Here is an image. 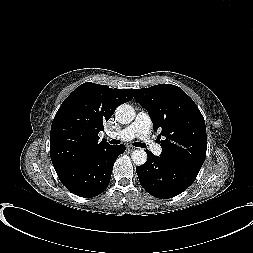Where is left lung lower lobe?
<instances>
[{"label": "left lung lower lobe", "instance_id": "obj_1", "mask_svg": "<svg viewBox=\"0 0 253 253\" xmlns=\"http://www.w3.org/2000/svg\"><path fill=\"white\" fill-rule=\"evenodd\" d=\"M148 159L136 167L141 186L152 196L168 199L185 191L199 171L175 163L146 150Z\"/></svg>", "mask_w": 253, "mask_h": 253}]
</instances>
